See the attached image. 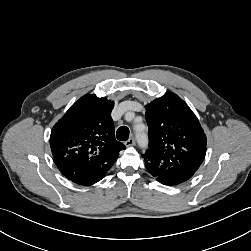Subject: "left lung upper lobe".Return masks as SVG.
I'll list each match as a JSON object with an SVG mask.
<instances>
[{
    "label": "left lung upper lobe",
    "mask_w": 251,
    "mask_h": 251,
    "mask_svg": "<svg viewBox=\"0 0 251 251\" xmlns=\"http://www.w3.org/2000/svg\"><path fill=\"white\" fill-rule=\"evenodd\" d=\"M146 108L149 149L168 161L201 164L206 154V135L188 105L168 92Z\"/></svg>",
    "instance_id": "1"
}]
</instances>
